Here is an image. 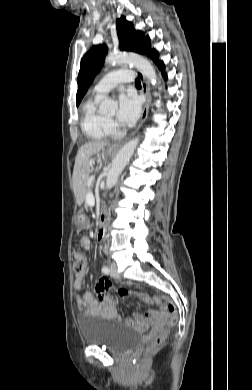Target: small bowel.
<instances>
[{"instance_id": "c3829d8e", "label": "small bowel", "mask_w": 252, "mask_h": 390, "mask_svg": "<svg viewBox=\"0 0 252 390\" xmlns=\"http://www.w3.org/2000/svg\"><path fill=\"white\" fill-rule=\"evenodd\" d=\"M80 242L85 249L90 248L89 238L83 237ZM85 278V270L76 273L73 283L75 290L80 291L83 289ZM108 285L109 282L106 279H101L96 286L97 297L91 292H84L82 294V298L92 315L122 323L126 327L150 335L159 333L163 330L165 326V315L159 310H148L145 314L135 313L132 318L121 319L117 313L116 304L113 298L106 292Z\"/></svg>"}]
</instances>
